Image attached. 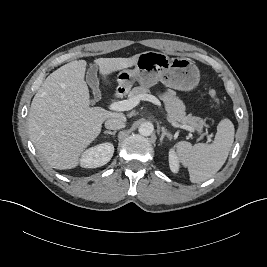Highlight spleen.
<instances>
[{"label":"spleen","mask_w":267,"mask_h":267,"mask_svg":"<svg viewBox=\"0 0 267 267\" xmlns=\"http://www.w3.org/2000/svg\"><path fill=\"white\" fill-rule=\"evenodd\" d=\"M234 134L233 123L225 118L219 122L212 144L192 145L187 141L177 143L178 159L184 167L188 168L192 183L204 182L221 169L234 142Z\"/></svg>","instance_id":"spleen-1"}]
</instances>
